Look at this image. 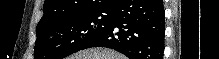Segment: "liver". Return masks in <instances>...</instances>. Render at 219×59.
Here are the masks:
<instances>
[{"label":"liver","mask_w":219,"mask_h":59,"mask_svg":"<svg viewBox=\"0 0 219 59\" xmlns=\"http://www.w3.org/2000/svg\"><path fill=\"white\" fill-rule=\"evenodd\" d=\"M68 59H126V57L110 49L91 48L80 51Z\"/></svg>","instance_id":"6515ba94"}]
</instances>
